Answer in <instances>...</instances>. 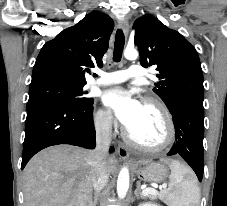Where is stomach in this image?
<instances>
[{
    "instance_id": "0dacf381",
    "label": "stomach",
    "mask_w": 227,
    "mask_h": 206,
    "mask_svg": "<svg viewBox=\"0 0 227 206\" xmlns=\"http://www.w3.org/2000/svg\"><path fill=\"white\" fill-rule=\"evenodd\" d=\"M142 164L143 166L135 169L137 176L141 180L150 183H161L166 180L168 169L165 165L152 161H146Z\"/></svg>"
}]
</instances>
